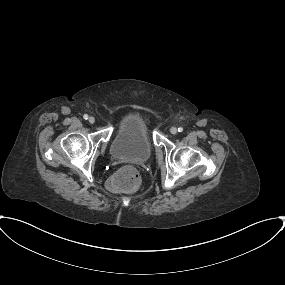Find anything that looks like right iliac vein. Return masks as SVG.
Instances as JSON below:
<instances>
[{"label": "right iliac vein", "mask_w": 285, "mask_h": 285, "mask_svg": "<svg viewBox=\"0 0 285 285\" xmlns=\"http://www.w3.org/2000/svg\"><path fill=\"white\" fill-rule=\"evenodd\" d=\"M88 121H89L90 124H93V123H95V118L94 117H90Z\"/></svg>", "instance_id": "63e3f726"}]
</instances>
